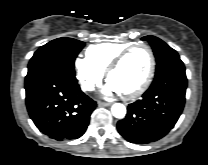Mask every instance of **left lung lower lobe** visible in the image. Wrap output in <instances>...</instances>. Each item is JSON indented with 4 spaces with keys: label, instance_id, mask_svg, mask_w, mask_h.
Returning <instances> with one entry per match:
<instances>
[{
    "label": "left lung lower lobe",
    "instance_id": "0a47b994",
    "mask_svg": "<svg viewBox=\"0 0 208 165\" xmlns=\"http://www.w3.org/2000/svg\"><path fill=\"white\" fill-rule=\"evenodd\" d=\"M187 77L184 64L169 66L155 74L142 99L127 107L118 121L119 133L131 143H149L164 137L176 124L185 104Z\"/></svg>",
    "mask_w": 208,
    "mask_h": 165
}]
</instances>
